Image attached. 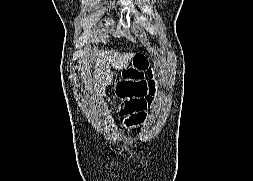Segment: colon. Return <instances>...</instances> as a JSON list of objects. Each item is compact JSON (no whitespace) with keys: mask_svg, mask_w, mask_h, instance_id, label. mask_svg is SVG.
I'll list each match as a JSON object with an SVG mask.
<instances>
[{"mask_svg":"<svg viewBox=\"0 0 253 181\" xmlns=\"http://www.w3.org/2000/svg\"><path fill=\"white\" fill-rule=\"evenodd\" d=\"M147 60L143 54L134 57L133 65L123 71V78L117 85V96L122 101V112L127 116L128 127L143 123L149 100L145 72Z\"/></svg>","mask_w":253,"mask_h":181,"instance_id":"5ec220e1","label":"colon"}]
</instances>
